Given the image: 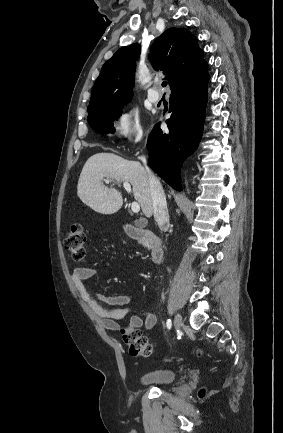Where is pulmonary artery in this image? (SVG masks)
<instances>
[{
  "instance_id": "obj_1",
  "label": "pulmonary artery",
  "mask_w": 283,
  "mask_h": 433,
  "mask_svg": "<svg viewBox=\"0 0 283 433\" xmlns=\"http://www.w3.org/2000/svg\"><path fill=\"white\" fill-rule=\"evenodd\" d=\"M148 100L152 103H158L161 100V96L153 93L147 94Z\"/></svg>"
}]
</instances>
